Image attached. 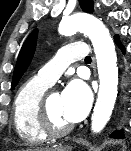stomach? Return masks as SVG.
I'll use <instances>...</instances> for the list:
<instances>
[{"label":"stomach","instance_id":"obj_1","mask_svg":"<svg viewBox=\"0 0 131 151\" xmlns=\"http://www.w3.org/2000/svg\"><path fill=\"white\" fill-rule=\"evenodd\" d=\"M41 151H43V150H41ZM57 151H71V148L66 146V147L58 148Z\"/></svg>","mask_w":131,"mask_h":151}]
</instances>
